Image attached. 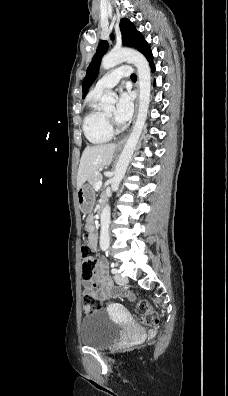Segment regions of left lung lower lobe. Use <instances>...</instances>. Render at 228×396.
Returning a JSON list of instances; mask_svg holds the SVG:
<instances>
[{
	"label": "left lung lower lobe",
	"mask_w": 228,
	"mask_h": 396,
	"mask_svg": "<svg viewBox=\"0 0 228 396\" xmlns=\"http://www.w3.org/2000/svg\"><path fill=\"white\" fill-rule=\"evenodd\" d=\"M143 54L146 56V58H147L148 61L150 62V66H151L152 71H155V66H154V64H153V62H152L153 55H152V52H151L149 46H148V48L145 50V52H144Z\"/></svg>",
	"instance_id": "0a47b994"
}]
</instances>
